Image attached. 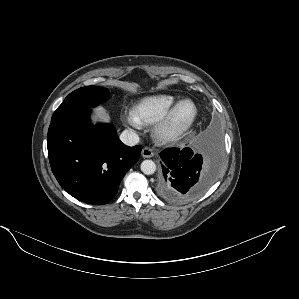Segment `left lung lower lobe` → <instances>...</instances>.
Instances as JSON below:
<instances>
[{
	"label": "left lung lower lobe",
	"instance_id": "0a47b994",
	"mask_svg": "<svg viewBox=\"0 0 299 299\" xmlns=\"http://www.w3.org/2000/svg\"><path fill=\"white\" fill-rule=\"evenodd\" d=\"M194 148L165 149L157 191L164 199L185 203L200 196L214 182L221 166V149L217 142H199Z\"/></svg>",
	"mask_w": 299,
	"mask_h": 299
}]
</instances>
